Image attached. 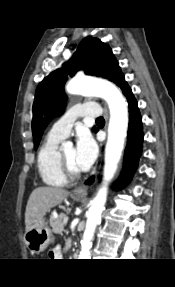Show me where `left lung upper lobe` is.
<instances>
[{
  "instance_id": "5c2ea615",
  "label": "left lung upper lobe",
  "mask_w": 175,
  "mask_h": 287,
  "mask_svg": "<svg viewBox=\"0 0 175 287\" xmlns=\"http://www.w3.org/2000/svg\"><path fill=\"white\" fill-rule=\"evenodd\" d=\"M80 69L87 75L106 78L122 90L128 86L111 48L98 38L83 39L72 58L44 78L36 89L32 120L35 149L48 123L63 113L67 99L64 84L68 76Z\"/></svg>"
}]
</instances>
